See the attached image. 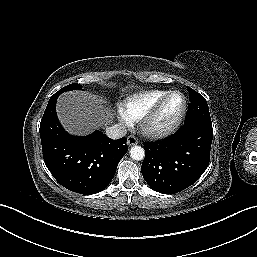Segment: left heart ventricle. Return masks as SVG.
Wrapping results in <instances>:
<instances>
[{
	"instance_id": "1",
	"label": "left heart ventricle",
	"mask_w": 257,
	"mask_h": 257,
	"mask_svg": "<svg viewBox=\"0 0 257 257\" xmlns=\"http://www.w3.org/2000/svg\"><path fill=\"white\" fill-rule=\"evenodd\" d=\"M183 99L180 95H173L162 108L156 118V124L160 127L171 123L180 113Z\"/></svg>"
}]
</instances>
